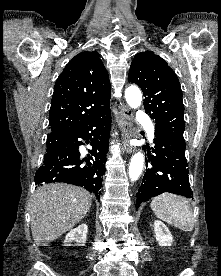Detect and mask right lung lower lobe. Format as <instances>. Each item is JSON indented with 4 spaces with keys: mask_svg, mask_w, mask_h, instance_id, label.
<instances>
[{
    "mask_svg": "<svg viewBox=\"0 0 221 276\" xmlns=\"http://www.w3.org/2000/svg\"><path fill=\"white\" fill-rule=\"evenodd\" d=\"M110 127L109 108L71 135L64 147L46 152L42 166L36 171L35 184L65 182L83 186L99 199L107 160ZM78 138L87 140L86 143L92 146L87 158L80 157L78 148L83 143L78 141Z\"/></svg>",
    "mask_w": 221,
    "mask_h": 276,
    "instance_id": "98d812e1",
    "label": "right lung lower lobe"
}]
</instances>
